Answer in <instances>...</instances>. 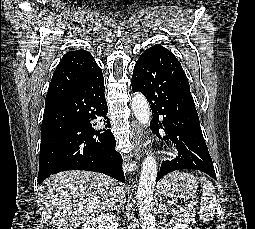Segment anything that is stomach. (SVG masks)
<instances>
[{
	"instance_id": "0dacf381",
	"label": "stomach",
	"mask_w": 255,
	"mask_h": 229,
	"mask_svg": "<svg viewBox=\"0 0 255 229\" xmlns=\"http://www.w3.org/2000/svg\"><path fill=\"white\" fill-rule=\"evenodd\" d=\"M197 188L196 178L190 173L181 171L168 174L159 184V190L163 196L176 200L192 197Z\"/></svg>"
}]
</instances>
